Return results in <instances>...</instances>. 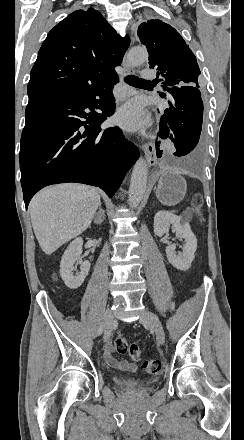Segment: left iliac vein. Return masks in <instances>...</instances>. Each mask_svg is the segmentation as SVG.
<instances>
[{"mask_svg":"<svg viewBox=\"0 0 244 440\" xmlns=\"http://www.w3.org/2000/svg\"><path fill=\"white\" fill-rule=\"evenodd\" d=\"M141 322L145 325H149L154 330L157 342L159 344L164 343L165 334L157 315H155L151 311L145 310L142 314Z\"/></svg>","mask_w":244,"mask_h":440,"instance_id":"left-iliac-vein-1","label":"left iliac vein"}]
</instances>
